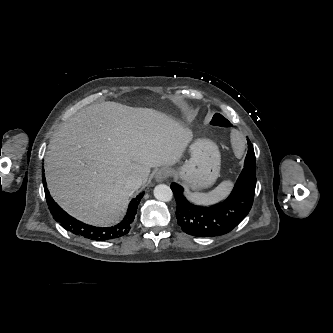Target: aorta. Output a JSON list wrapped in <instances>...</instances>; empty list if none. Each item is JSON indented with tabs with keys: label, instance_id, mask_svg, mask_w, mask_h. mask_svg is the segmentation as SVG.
<instances>
[{
	"label": "aorta",
	"instance_id": "1",
	"mask_svg": "<svg viewBox=\"0 0 333 333\" xmlns=\"http://www.w3.org/2000/svg\"><path fill=\"white\" fill-rule=\"evenodd\" d=\"M154 196L159 201L168 202L172 199L173 193L168 185L159 184L154 188Z\"/></svg>",
	"mask_w": 333,
	"mask_h": 333
}]
</instances>
